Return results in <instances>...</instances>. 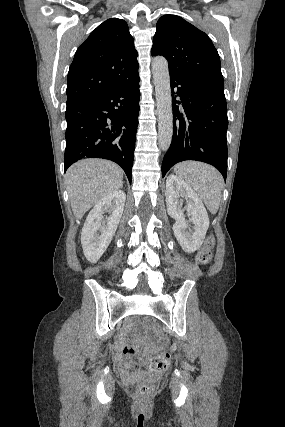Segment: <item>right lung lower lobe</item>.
<instances>
[{"instance_id": "obj_1", "label": "right lung lower lobe", "mask_w": 285, "mask_h": 427, "mask_svg": "<svg viewBox=\"0 0 285 427\" xmlns=\"http://www.w3.org/2000/svg\"><path fill=\"white\" fill-rule=\"evenodd\" d=\"M139 81L138 76L119 88L67 105L65 170L80 159L103 158L120 165L131 182Z\"/></svg>"}]
</instances>
